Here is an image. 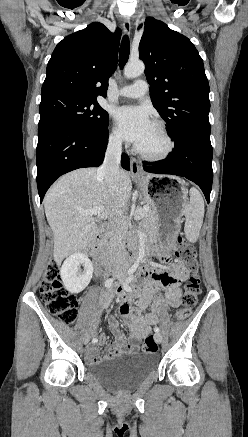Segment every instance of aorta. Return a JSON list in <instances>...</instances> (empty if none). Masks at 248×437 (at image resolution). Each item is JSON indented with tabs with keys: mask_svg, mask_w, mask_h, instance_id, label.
<instances>
[{
	"mask_svg": "<svg viewBox=\"0 0 248 437\" xmlns=\"http://www.w3.org/2000/svg\"><path fill=\"white\" fill-rule=\"evenodd\" d=\"M145 70V66L143 64V62L141 61H133V62H129L125 69H124V76L127 79H132V78H136L138 76H140L141 74L144 73ZM138 237H139V254H138V258L141 259L145 256V252H146V235L143 231H138Z\"/></svg>",
	"mask_w": 248,
	"mask_h": 437,
	"instance_id": "obj_1",
	"label": "aorta"
}]
</instances>
